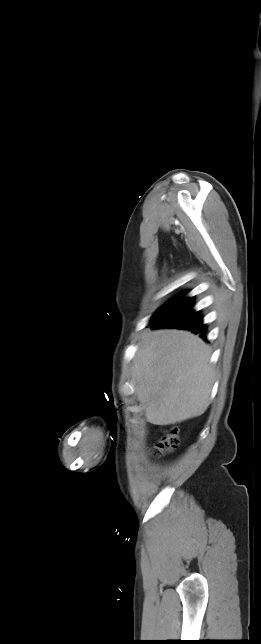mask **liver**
I'll return each mask as SVG.
<instances>
[{
  "mask_svg": "<svg viewBox=\"0 0 261 644\" xmlns=\"http://www.w3.org/2000/svg\"><path fill=\"white\" fill-rule=\"evenodd\" d=\"M210 356L209 346L187 331L143 334L131 375L148 422L170 425L206 411L214 382Z\"/></svg>",
  "mask_w": 261,
  "mask_h": 644,
  "instance_id": "obj_1",
  "label": "liver"
}]
</instances>
